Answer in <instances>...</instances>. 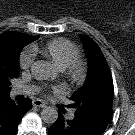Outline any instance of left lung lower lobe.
I'll return each mask as SVG.
<instances>
[{"label":"left lung lower lobe","instance_id":"obj_1","mask_svg":"<svg viewBox=\"0 0 135 135\" xmlns=\"http://www.w3.org/2000/svg\"><path fill=\"white\" fill-rule=\"evenodd\" d=\"M110 120L99 115L77 114L71 120H66L59 111L58 119L50 126L49 135H101Z\"/></svg>","mask_w":135,"mask_h":135}]
</instances>
